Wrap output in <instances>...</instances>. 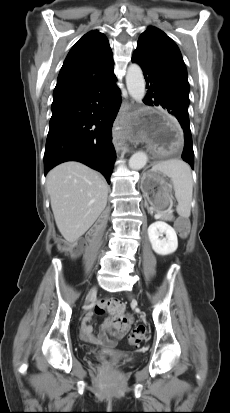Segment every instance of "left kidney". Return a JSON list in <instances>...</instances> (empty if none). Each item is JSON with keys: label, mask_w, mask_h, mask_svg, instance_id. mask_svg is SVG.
Returning <instances> with one entry per match:
<instances>
[{"label": "left kidney", "mask_w": 230, "mask_h": 413, "mask_svg": "<svg viewBox=\"0 0 230 413\" xmlns=\"http://www.w3.org/2000/svg\"><path fill=\"white\" fill-rule=\"evenodd\" d=\"M166 235L165 238L160 237ZM148 237L152 249L159 255H169L176 251L178 239L175 230L163 221H156L148 228Z\"/></svg>", "instance_id": "5707ae66"}]
</instances>
